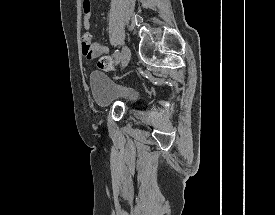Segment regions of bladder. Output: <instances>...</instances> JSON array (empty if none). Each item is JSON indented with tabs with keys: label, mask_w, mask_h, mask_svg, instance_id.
<instances>
[{
	"label": "bladder",
	"mask_w": 275,
	"mask_h": 215,
	"mask_svg": "<svg viewBox=\"0 0 275 215\" xmlns=\"http://www.w3.org/2000/svg\"><path fill=\"white\" fill-rule=\"evenodd\" d=\"M90 87L94 101L100 108L111 106L117 102L135 103L139 96L135 87L115 83L107 74L97 70L90 73Z\"/></svg>",
	"instance_id": "obj_1"
}]
</instances>
